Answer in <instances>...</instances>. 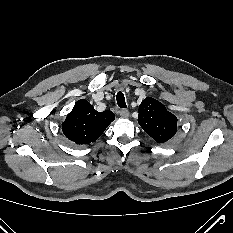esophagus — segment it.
<instances>
[{
  "label": "esophagus",
  "instance_id": "esophagus-1",
  "mask_svg": "<svg viewBox=\"0 0 233 233\" xmlns=\"http://www.w3.org/2000/svg\"><path fill=\"white\" fill-rule=\"evenodd\" d=\"M119 114H120V116H121L122 118H128V117H129V112H128V110H126V109H122V110L119 112Z\"/></svg>",
  "mask_w": 233,
  "mask_h": 233
}]
</instances>
